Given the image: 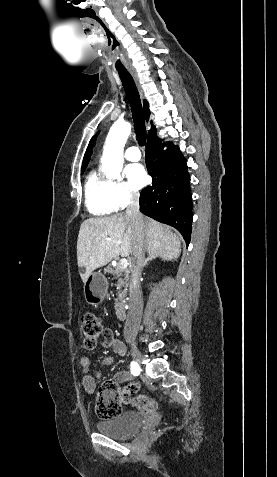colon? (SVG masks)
<instances>
[{
	"label": "colon",
	"instance_id": "colon-1",
	"mask_svg": "<svg viewBox=\"0 0 277 477\" xmlns=\"http://www.w3.org/2000/svg\"><path fill=\"white\" fill-rule=\"evenodd\" d=\"M80 328L85 348L93 349L103 332L100 319L93 312H87L80 319ZM133 392L131 387L122 389L113 380L105 381L99 389L95 404L97 415L104 419L117 416L122 412L123 404H132L139 411L146 413L157 409L155 400L142 394L131 397Z\"/></svg>",
	"mask_w": 277,
	"mask_h": 477
}]
</instances>
